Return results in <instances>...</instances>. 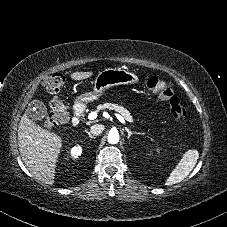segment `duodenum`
Returning <instances> with one entry per match:
<instances>
[{
  "label": "duodenum",
  "instance_id": "1",
  "mask_svg": "<svg viewBox=\"0 0 227 227\" xmlns=\"http://www.w3.org/2000/svg\"><path fill=\"white\" fill-rule=\"evenodd\" d=\"M84 106L82 104H75L74 106V117H73V125L78 126L81 119L84 116Z\"/></svg>",
  "mask_w": 227,
  "mask_h": 227
}]
</instances>
